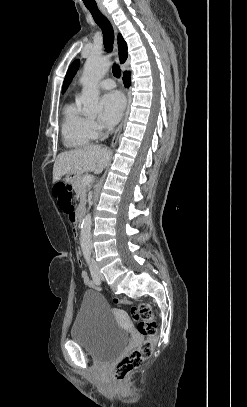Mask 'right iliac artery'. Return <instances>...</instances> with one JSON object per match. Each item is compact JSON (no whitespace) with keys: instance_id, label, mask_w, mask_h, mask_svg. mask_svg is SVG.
I'll return each mask as SVG.
<instances>
[{"instance_id":"obj_1","label":"right iliac artery","mask_w":247,"mask_h":407,"mask_svg":"<svg viewBox=\"0 0 247 407\" xmlns=\"http://www.w3.org/2000/svg\"><path fill=\"white\" fill-rule=\"evenodd\" d=\"M86 261H87V263H88V265H89V269H90V273H91V277H92L93 282H94L97 286H99V285L101 284V280H100L98 274H97V273L95 272V270L93 269V267H92V265H91V260H90V258H87Z\"/></svg>"}]
</instances>
